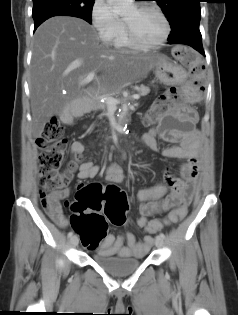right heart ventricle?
Listing matches in <instances>:
<instances>
[{
    "instance_id": "1",
    "label": "right heart ventricle",
    "mask_w": 238,
    "mask_h": 315,
    "mask_svg": "<svg viewBox=\"0 0 238 315\" xmlns=\"http://www.w3.org/2000/svg\"><path fill=\"white\" fill-rule=\"evenodd\" d=\"M110 44L121 51H126L129 49H132L133 47L129 44L126 33H125V26L124 23L122 22V26L119 29V31L116 33L114 38L111 40Z\"/></svg>"
}]
</instances>
